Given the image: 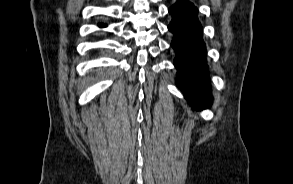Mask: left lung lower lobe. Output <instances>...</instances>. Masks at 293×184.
Wrapping results in <instances>:
<instances>
[{"label": "left lung lower lobe", "instance_id": "1", "mask_svg": "<svg viewBox=\"0 0 293 184\" xmlns=\"http://www.w3.org/2000/svg\"><path fill=\"white\" fill-rule=\"evenodd\" d=\"M169 12L173 17L168 29L174 34L171 46L176 52L177 86L193 108L208 107L212 100L198 10L191 2L178 0Z\"/></svg>", "mask_w": 293, "mask_h": 184}]
</instances>
